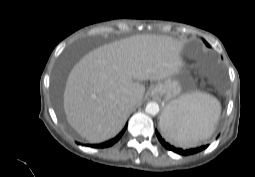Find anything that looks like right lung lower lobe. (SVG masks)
Instances as JSON below:
<instances>
[{
  "label": "right lung lower lobe",
  "instance_id": "right-lung-lower-lobe-1",
  "mask_svg": "<svg viewBox=\"0 0 255 177\" xmlns=\"http://www.w3.org/2000/svg\"><path fill=\"white\" fill-rule=\"evenodd\" d=\"M127 125L125 126V128L113 139L106 141L105 143H101V144H94V145H87V146H91L94 148H106V147H110L113 144H115L117 141H119V139L122 137L123 133L126 130Z\"/></svg>",
  "mask_w": 255,
  "mask_h": 177
}]
</instances>
